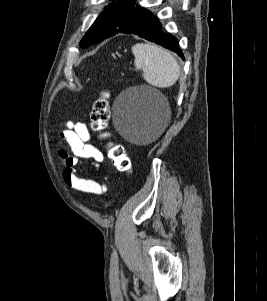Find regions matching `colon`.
I'll return each mask as SVG.
<instances>
[{"label":"colon","instance_id":"colon-1","mask_svg":"<svg viewBox=\"0 0 267 301\" xmlns=\"http://www.w3.org/2000/svg\"><path fill=\"white\" fill-rule=\"evenodd\" d=\"M108 94L103 91L94 101L90 112V125L93 131L99 133L102 139H107L110 134L107 131L110 109L108 106ZM108 158L111 160L117 170L124 173H131L132 163L123 146L114 142H108L106 145Z\"/></svg>","mask_w":267,"mask_h":301}]
</instances>
